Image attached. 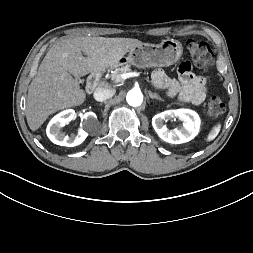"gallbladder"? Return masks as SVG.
<instances>
[{
    "instance_id": "bac80fb5",
    "label": "gallbladder",
    "mask_w": 253,
    "mask_h": 253,
    "mask_svg": "<svg viewBox=\"0 0 253 253\" xmlns=\"http://www.w3.org/2000/svg\"><path fill=\"white\" fill-rule=\"evenodd\" d=\"M76 80H77L79 83H82V82H83V80H81L79 77H77Z\"/></svg>"
}]
</instances>
